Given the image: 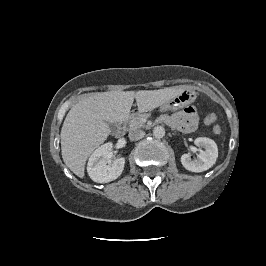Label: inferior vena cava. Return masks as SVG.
<instances>
[{
	"label": "inferior vena cava",
	"instance_id": "602c4592",
	"mask_svg": "<svg viewBox=\"0 0 266 266\" xmlns=\"http://www.w3.org/2000/svg\"><path fill=\"white\" fill-rule=\"evenodd\" d=\"M144 136L145 132L143 130H132L128 134V137L131 141L142 139Z\"/></svg>",
	"mask_w": 266,
	"mask_h": 266
}]
</instances>
